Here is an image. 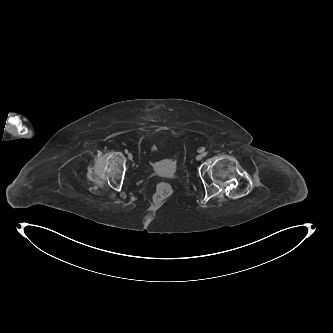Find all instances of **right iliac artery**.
I'll list each match as a JSON object with an SVG mask.
<instances>
[{"label":"right iliac artery","mask_w":333,"mask_h":333,"mask_svg":"<svg viewBox=\"0 0 333 333\" xmlns=\"http://www.w3.org/2000/svg\"><path fill=\"white\" fill-rule=\"evenodd\" d=\"M125 153H126V154L128 153V150H127V149H125Z\"/></svg>","instance_id":"82829eb1"}]
</instances>
